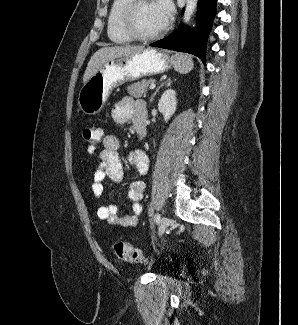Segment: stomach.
<instances>
[{"label": "stomach", "mask_w": 298, "mask_h": 325, "mask_svg": "<svg viewBox=\"0 0 298 325\" xmlns=\"http://www.w3.org/2000/svg\"><path fill=\"white\" fill-rule=\"evenodd\" d=\"M181 62H187L186 54H183ZM172 66L173 58L164 50L152 46L135 54H124L121 58L107 60L80 88L78 104L85 114H97L117 86L144 76L163 74Z\"/></svg>", "instance_id": "obj_1"}]
</instances>
